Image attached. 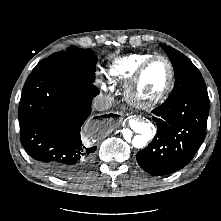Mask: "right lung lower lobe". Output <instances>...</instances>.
<instances>
[{
  "mask_svg": "<svg viewBox=\"0 0 221 221\" xmlns=\"http://www.w3.org/2000/svg\"><path fill=\"white\" fill-rule=\"evenodd\" d=\"M98 94L93 82L52 66L31 72L19 103L20 140L41 169L66 178L90 162L96 147L84 146L80 130ZM97 118L90 119L94 129L101 120Z\"/></svg>",
  "mask_w": 221,
  "mask_h": 221,
  "instance_id": "right-lung-lower-lobe-1",
  "label": "right lung lower lobe"
}]
</instances>
